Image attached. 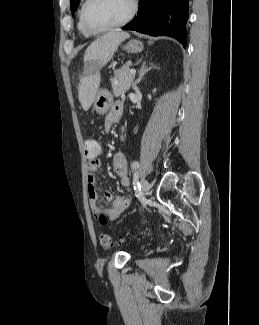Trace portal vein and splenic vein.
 <instances>
[{"label":"portal vein and splenic vein","instance_id":"18ae733b","mask_svg":"<svg viewBox=\"0 0 259 325\" xmlns=\"http://www.w3.org/2000/svg\"><path fill=\"white\" fill-rule=\"evenodd\" d=\"M130 73H131V74H135V73H136V69H131V70H130Z\"/></svg>","mask_w":259,"mask_h":325}]
</instances>
